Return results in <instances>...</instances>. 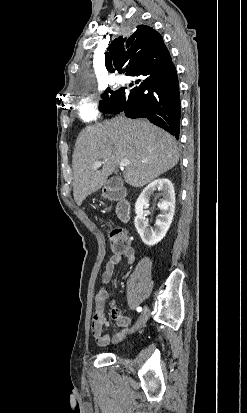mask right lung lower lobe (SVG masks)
<instances>
[{
  "label": "right lung lower lobe",
  "instance_id": "obj_1",
  "mask_svg": "<svg viewBox=\"0 0 247 413\" xmlns=\"http://www.w3.org/2000/svg\"><path fill=\"white\" fill-rule=\"evenodd\" d=\"M136 87L118 90L105 113L124 112L129 118H147L179 138L180 96L172 60L151 73L134 76Z\"/></svg>",
  "mask_w": 247,
  "mask_h": 413
}]
</instances>
